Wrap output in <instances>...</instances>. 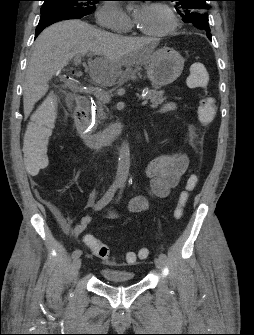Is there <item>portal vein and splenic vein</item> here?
<instances>
[{"instance_id": "portal-vein-and-splenic-vein-1", "label": "portal vein and splenic vein", "mask_w": 254, "mask_h": 335, "mask_svg": "<svg viewBox=\"0 0 254 335\" xmlns=\"http://www.w3.org/2000/svg\"><path fill=\"white\" fill-rule=\"evenodd\" d=\"M74 63H75V65H79L81 63V56L80 55L75 57ZM90 91H91V93H93L95 95V97L97 99H99L100 101H102L104 103H108V102L111 101V96L104 91H101V90L96 89V88H92ZM147 102L148 101L143 98L142 102H141V105L144 106V105L147 104Z\"/></svg>"}]
</instances>
